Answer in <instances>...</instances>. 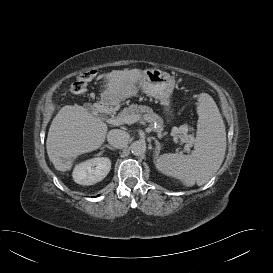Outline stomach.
<instances>
[{"label":"stomach","mask_w":273,"mask_h":273,"mask_svg":"<svg viewBox=\"0 0 273 273\" xmlns=\"http://www.w3.org/2000/svg\"><path fill=\"white\" fill-rule=\"evenodd\" d=\"M174 87L175 78L169 73L156 68L147 69L143 71L140 80L121 91L118 95L112 97L105 90L101 95V100L107 105L117 106L120 101L136 95L137 91L141 89L145 94L158 99L164 106L167 115L172 116L170 106Z\"/></svg>","instance_id":"obj_1"}]
</instances>
